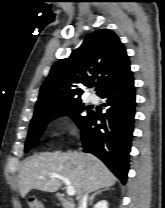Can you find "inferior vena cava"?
Wrapping results in <instances>:
<instances>
[{"label": "inferior vena cava", "instance_id": "602c4592", "mask_svg": "<svg viewBox=\"0 0 165 208\" xmlns=\"http://www.w3.org/2000/svg\"><path fill=\"white\" fill-rule=\"evenodd\" d=\"M87 200L88 195L86 193L80 199H78V208H87Z\"/></svg>", "mask_w": 165, "mask_h": 208}]
</instances>
